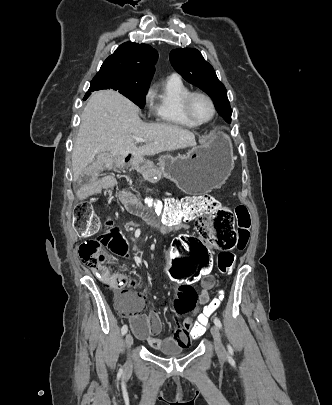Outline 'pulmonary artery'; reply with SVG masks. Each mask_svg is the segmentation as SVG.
<instances>
[{
  "label": "pulmonary artery",
  "mask_w": 332,
  "mask_h": 405,
  "mask_svg": "<svg viewBox=\"0 0 332 405\" xmlns=\"http://www.w3.org/2000/svg\"><path fill=\"white\" fill-rule=\"evenodd\" d=\"M172 77H176V78H177V75H173Z\"/></svg>",
  "instance_id": "e3ab8cb5"
}]
</instances>
